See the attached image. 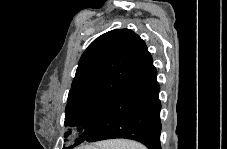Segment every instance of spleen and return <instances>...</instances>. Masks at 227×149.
<instances>
[{
	"label": "spleen",
	"mask_w": 227,
	"mask_h": 149,
	"mask_svg": "<svg viewBox=\"0 0 227 149\" xmlns=\"http://www.w3.org/2000/svg\"><path fill=\"white\" fill-rule=\"evenodd\" d=\"M100 149H145L143 145L129 140L104 141L98 144Z\"/></svg>",
	"instance_id": "obj_1"
}]
</instances>
